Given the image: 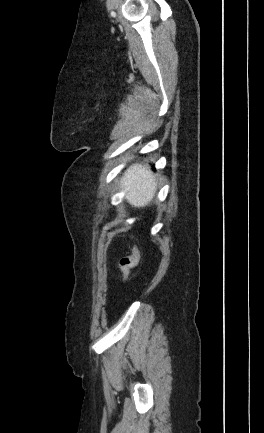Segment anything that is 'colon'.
Wrapping results in <instances>:
<instances>
[{"instance_id": "obj_1", "label": "colon", "mask_w": 264, "mask_h": 433, "mask_svg": "<svg viewBox=\"0 0 264 433\" xmlns=\"http://www.w3.org/2000/svg\"><path fill=\"white\" fill-rule=\"evenodd\" d=\"M132 252L130 255L123 257L120 260V270L125 283L129 281L132 270L139 264L141 260V251L137 244L130 242Z\"/></svg>"}]
</instances>
